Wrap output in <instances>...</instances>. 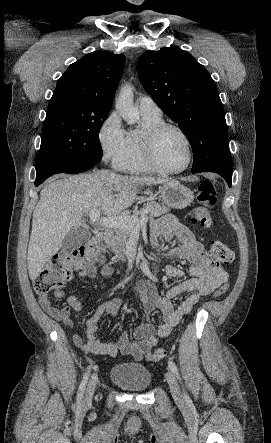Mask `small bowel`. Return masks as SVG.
<instances>
[{"label":"small bowel","instance_id":"1","mask_svg":"<svg viewBox=\"0 0 271 443\" xmlns=\"http://www.w3.org/2000/svg\"><path fill=\"white\" fill-rule=\"evenodd\" d=\"M160 239L166 241L175 239L179 242V246L169 251L166 257L169 259L179 258L189 262V277L170 287L165 296H160L155 287L146 281L136 287L146 322L136 327L133 340L126 332H123L115 343H105L97 338L96 332L101 318L105 315H115L122 300L114 298L100 304L86 322L85 339L79 334L72 336L74 344L81 350L86 353L111 357L120 353L139 361L150 353L159 338H166L172 333L173 329L184 316L192 311L202 296L212 293L228 280L225 269L219 263L205 256L203 244L198 241L187 226L173 215H165L155 223L151 233L153 248H158ZM112 273L113 269L109 265H104L100 269V275L104 278H109ZM165 273L168 278L180 279L185 276L183 269L173 265H167ZM79 276L81 278H95L97 276L96 263L88 264L79 272ZM54 294L57 298L64 297L62 290H56ZM182 294H186V297L178 305H173L172 300ZM39 303L51 317L64 323L70 329L74 327L70 307L76 310L83 307L76 296H69L66 305L61 308L55 307L47 295H39ZM155 310L160 311L162 316V323L158 327H155L151 321V315Z\"/></svg>","mask_w":271,"mask_h":443}]
</instances>
